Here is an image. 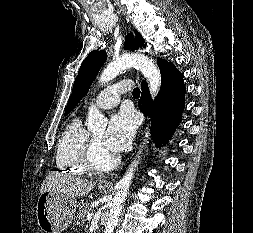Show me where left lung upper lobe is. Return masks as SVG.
I'll return each mask as SVG.
<instances>
[{
    "label": "left lung upper lobe",
    "mask_w": 253,
    "mask_h": 233,
    "mask_svg": "<svg viewBox=\"0 0 253 233\" xmlns=\"http://www.w3.org/2000/svg\"><path fill=\"white\" fill-rule=\"evenodd\" d=\"M146 47L143 37L135 31V38L132 33H129L126 38L125 49H138ZM107 54L103 50H95L89 53L86 59L81 64L78 76L75 79L71 97L67 103L65 116L69 114L74 107L82 100L88 92L90 85L98 74L100 68L106 61Z\"/></svg>",
    "instance_id": "5c2ea615"
}]
</instances>
